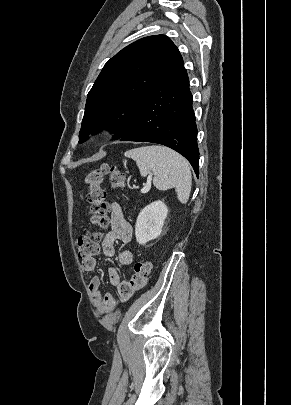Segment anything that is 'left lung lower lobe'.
Wrapping results in <instances>:
<instances>
[{
	"instance_id": "0a47b994",
	"label": "left lung lower lobe",
	"mask_w": 291,
	"mask_h": 405,
	"mask_svg": "<svg viewBox=\"0 0 291 405\" xmlns=\"http://www.w3.org/2000/svg\"><path fill=\"white\" fill-rule=\"evenodd\" d=\"M197 130L189 78L179 55L141 101L130 130L120 141L152 142L183 155L199 174Z\"/></svg>"
}]
</instances>
